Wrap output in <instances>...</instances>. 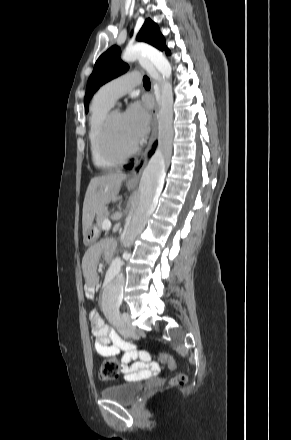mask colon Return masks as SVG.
Wrapping results in <instances>:
<instances>
[{
  "instance_id": "1",
  "label": "colon",
  "mask_w": 291,
  "mask_h": 440,
  "mask_svg": "<svg viewBox=\"0 0 291 440\" xmlns=\"http://www.w3.org/2000/svg\"><path fill=\"white\" fill-rule=\"evenodd\" d=\"M141 356L144 359H151V355L146 352H141ZM164 361L167 364L169 369H174L175 363L174 360L171 357L164 356ZM120 372V367L118 365V362L115 359H108L105 361L98 370L99 378L102 381H112L115 380ZM187 382V377L185 374L181 373L178 374L174 379L173 383L175 384H182Z\"/></svg>"
}]
</instances>
